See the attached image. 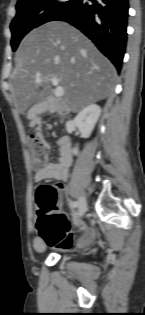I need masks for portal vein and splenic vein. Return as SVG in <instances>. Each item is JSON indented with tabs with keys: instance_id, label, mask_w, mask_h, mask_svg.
Segmentation results:
<instances>
[{
	"instance_id": "portal-vein-and-splenic-vein-1",
	"label": "portal vein and splenic vein",
	"mask_w": 145,
	"mask_h": 315,
	"mask_svg": "<svg viewBox=\"0 0 145 315\" xmlns=\"http://www.w3.org/2000/svg\"><path fill=\"white\" fill-rule=\"evenodd\" d=\"M36 82L37 83H40L41 82V79L39 76L36 77ZM51 82L54 86H56V89L54 91V95L56 97H62L64 95V88L62 86L59 85V82H58V79L53 77L51 79Z\"/></svg>"
}]
</instances>
